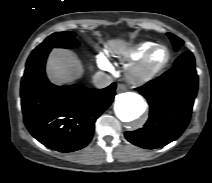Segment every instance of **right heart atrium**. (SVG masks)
Segmentation results:
<instances>
[{"label":"right heart atrium","mask_w":212,"mask_h":183,"mask_svg":"<svg viewBox=\"0 0 212 183\" xmlns=\"http://www.w3.org/2000/svg\"><path fill=\"white\" fill-rule=\"evenodd\" d=\"M99 62L103 68H108V63L104 61L103 58L99 59Z\"/></svg>","instance_id":"d8ad5b80"}]
</instances>
